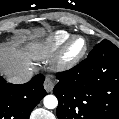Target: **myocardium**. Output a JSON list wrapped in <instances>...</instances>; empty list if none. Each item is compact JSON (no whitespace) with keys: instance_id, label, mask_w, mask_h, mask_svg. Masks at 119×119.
<instances>
[{"instance_id":"myocardium-1","label":"myocardium","mask_w":119,"mask_h":119,"mask_svg":"<svg viewBox=\"0 0 119 119\" xmlns=\"http://www.w3.org/2000/svg\"><path fill=\"white\" fill-rule=\"evenodd\" d=\"M76 40H82L83 41V48L82 50L74 55V56H69L68 55V50L72 43ZM88 51V42L87 40L79 35H75L72 37H69L61 46L55 60V66L58 69H70L76 66L86 55Z\"/></svg>"}]
</instances>
